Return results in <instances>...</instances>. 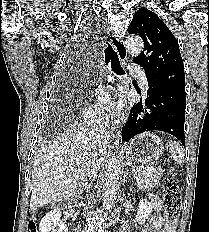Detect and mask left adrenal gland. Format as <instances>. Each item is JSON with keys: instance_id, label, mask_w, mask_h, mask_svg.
<instances>
[{"instance_id": "left-adrenal-gland-1", "label": "left adrenal gland", "mask_w": 209, "mask_h": 232, "mask_svg": "<svg viewBox=\"0 0 209 232\" xmlns=\"http://www.w3.org/2000/svg\"><path fill=\"white\" fill-rule=\"evenodd\" d=\"M127 175H128V172L126 171L125 174H124V176H123V180L122 181H125Z\"/></svg>"}]
</instances>
